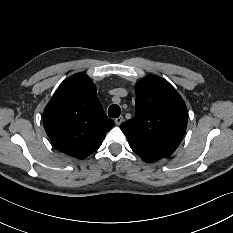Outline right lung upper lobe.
Listing matches in <instances>:
<instances>
[{
  "label": "right lung upper lobe",
  "instance_id": "1",
  "mask_svg": "<svg viewBox=\"0 0 233 233\" xmlns=\"http://www.w3.org/2000/svg\"><path fill=\"white\" fill-rule=\"evenodd\" d=\"M114 124L104 113L96 86L81 73L61 83L43 115V125L53 145L77 159L96 151Z\"/></svg>",
  "mask_w": 233,
  "mask_h": 233
}]
</instances>
